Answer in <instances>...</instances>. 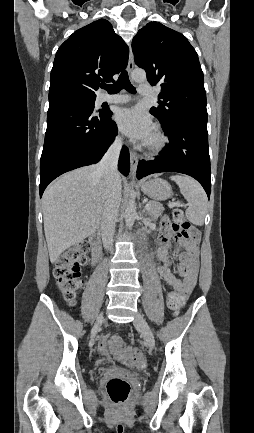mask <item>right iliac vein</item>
<instances>
[{"label":"right iliac vein","mask_w":254,"mask_h":433,"mask_svg":"<svg viewBox=\"0 0 254 433\" xmlns=\"http://www.w3.org/2000/svg\"><path fill=\"white\" fill-rule=\"evenodd\" d=\"M102 322H103V316L101 315V316L98 317V319H97V321H96V324H95V326H94V328H93V331H92V339H93V337L96 335V332H97L99 326L102 324Z\"/></svg>","instance_id":"right-iliac-vein-1"}]
</instances>
